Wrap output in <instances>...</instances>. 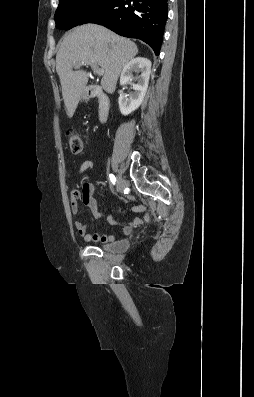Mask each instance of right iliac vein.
Masks as SVG:
<instances>
[{
    "label": "right iliac vein",
    "mask_w": 254,
    "mask_h": 397,
    "mask_svg": "<svg viewBox=\"0 0 254 397\" xmlns=\"http://www.w3.org/2000/svg\"><path fill=\"white\" fill-rule=\"evenodd\" d=\"M124 187H125V180L121 176H118L117 184H116L117 191L121 192Z\"/></svg>",
    "instance_id": "1"
}]
</instances>
